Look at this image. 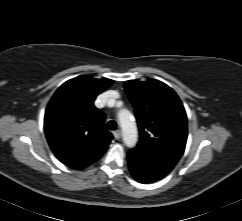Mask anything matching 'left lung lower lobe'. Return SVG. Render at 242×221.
<instances>
[{
	"label": "left lung lower lobe",
	"instance_id": "0a47b994",
	"mask_svg": "<svg viewBox=\"0 0 242 221\" xmlns=\"http://www.w3.org/2000/svg\"><path fill=\"white\" fill-rule=\"evenodd\" d=\"M128 165L132 176L140 183H152L165 177L175 165L131 149Z\"/></svg>",
	"mask_w": 242,
	"mask_h": 221
}]
</instances>
